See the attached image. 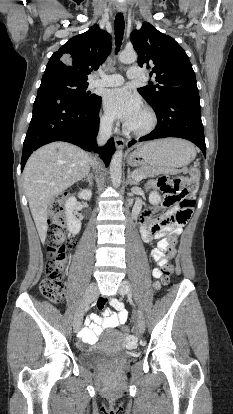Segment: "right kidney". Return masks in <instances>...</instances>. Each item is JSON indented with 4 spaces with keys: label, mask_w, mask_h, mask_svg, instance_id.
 <instances>
[{
    "label": "right kidney",
    "mask_w": 233,
    "mask_h": 414,
    "mask_svg": "<svg viewBox=\"0 0 233 414\" xmlns=\"http://www.w3.org/2000/svg\"><path fill=\"white\" fill-rule=\"evenodd\" d=\"M92 196V192L87 189H83L79 192L78 197L83 200H90ZM77 200L75 197H70L65 204V212L67 218V227L68 230L73 234L76 235L79 233L81 229V221L76 218L73 214L74 209L76 207Z\"/></svg>",
    "instance_id": "ca27d5eb"
}]
</instances>
